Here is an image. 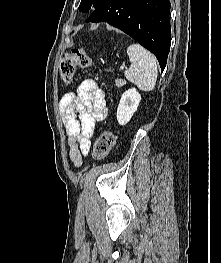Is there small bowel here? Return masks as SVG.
Masks as SVG:
<instances>
[{
  "mask_svg": "<svg viewBox=\"0 0 221 263\" xmlns=\"http://www.w3.org/2000/svg\"><path fill=\"white\" fill-rule=\"evenodd\" d=\"M59 111L66 129L69 160L79 168L89 153L96 123L107 115L105 94L94 80H84L76 92L62 96Z\"/></svg>",
  "mask_w": 221,
  "mask_h": 263,
  "instance_id": "obj_1",
  "label": "small bowel"
}]
</instances>
